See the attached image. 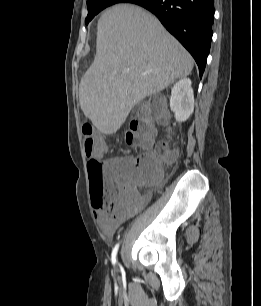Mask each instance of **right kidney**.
<instances>
[{
	"instance_id": "ca27d5eb",
	"label": "right kidney",
	"mask_w": 261,
	"mask_h": 306,
	"mask_svg": "<svg viewBox=\"0 0 261 306\" xmlns=\"http://www.w3.org/2000/svg\"><path fill=\"white\" fill-rule=\"evenodd\" d=\"M191 80L178 81L171 90L170 108L179 122L186 121L194 110V94Z\"/></svg>"
}]
</instances>
